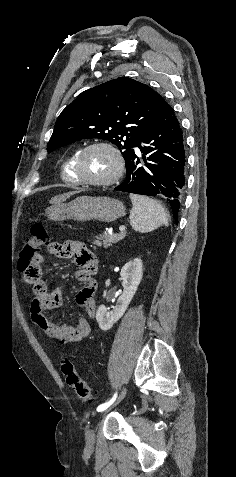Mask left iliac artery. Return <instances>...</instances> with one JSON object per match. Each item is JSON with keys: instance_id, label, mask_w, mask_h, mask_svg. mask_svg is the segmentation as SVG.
Masks as SVG:
<instances>
[{"instance_id": "left-iliac-artery-1", "label": "left iliac artery", "mask_w": 236, "mask_h": 477, "mask_svg": "<svg viewBox=\"0 0 236 477\" xmlns=\"http://www.w3.org/2000/svg\"><path fill=\"white\" fill-rule=\"evenodd\" d=\"M116 397H117V393L114 394V396L112 397V399L106 403H103L101 405H99L97 407V411L99 412L101 409H105V408H108L110 405L113 404V402L116 400Z\"/></svg>"}]
</instances>
